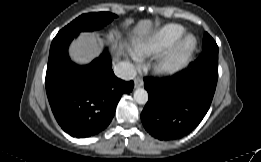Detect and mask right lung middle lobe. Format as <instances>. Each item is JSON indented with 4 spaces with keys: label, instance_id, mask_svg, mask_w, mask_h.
Here are the masks:
<instances>
[{
    "label": "right lung middle lobe",
    "instance_id": "1",
    "mask_svg": "<svg viewBox=\"0 0 261 162\" xmlns=\"http://www.w3.org/2000/svg\"><path fill=\"white\" fill-rule=\"evenodd\" d=\"M114 17L117 16L109 12L83 14L61 29L56 36L76 35L81 31L98 30L110 23Z\"/></svg>",
    "mask_w": 261,
    "mask_h": 162
}]
</instances>
